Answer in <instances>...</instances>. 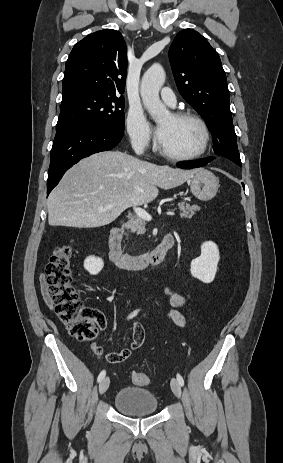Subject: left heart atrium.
Instances as JSON below:
<instances>
[{"label":"left heart atrium","instance_id":"left-heart-atrium-1","mask_svg":"<svg viewBox=\"0 0 283 463\" xmlns=\"http://www.w3.org/2000/svg\"><path fill=\"white\" fill-rule=\"evenodd\" d=\"M162 138H163V129L159 127L157 129V139L159 143L162 141Z\"/></svg>","mask_w":283,"mask_h":463}]
</instances>
